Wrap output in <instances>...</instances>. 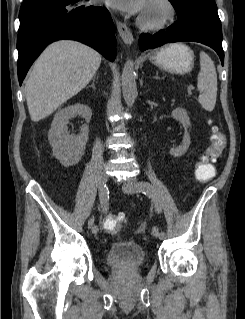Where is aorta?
Here are the masks:
<instances>
[{"mask_svg":"<svg viewBox=\"0 0 245 319\" xmlns=\"http://www.w3.org/2000/svg\"><path fill=\"white\" fill-rule=\"evenodd\" d=\"M121 85L124 100L128 107H132L138 94L136 86V73L134 71V63L132 60H128L124 65L121 77Z\"/></svg>","mask_w":245,"mask_h":319,"instance_id":"1","label":"aorta"}]
</instances>
